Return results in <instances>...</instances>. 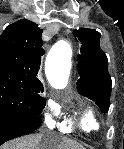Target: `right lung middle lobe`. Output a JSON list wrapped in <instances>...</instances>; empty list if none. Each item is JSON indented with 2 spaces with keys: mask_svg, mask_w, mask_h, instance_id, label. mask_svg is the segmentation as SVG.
Returning a JSON list of instances; mask_svg holds the SVG:
<instances>
[{
  "mask_svg": "<svg viewBox=\"0 0 124 149\" xmlns=\"http://www.w3.org/2000/svg\"><path fill=\"white\" fill-rule=\"evenodd\" d=\"M43 87L31 86L18 76L0 71V121L37 118L46 105Z\"/></svg>",
  "mask_w": 124,
  "mask_h": 149,
  "instance_id": "right-lung-middle-lobe-1",
  "label": "right lung middle lobe"
}]
</instances>
